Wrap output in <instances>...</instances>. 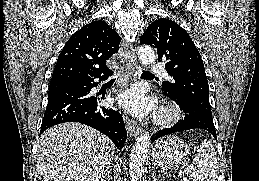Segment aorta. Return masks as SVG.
I'll return each instance as SVG.
<instances>
[{
  "mask_svg": "<svg viewBox=\"0 0 259 181\" xmlns=\"http://www.w3.org/2000/svg\"><path fill=\"white\" fill-rule=\"evenodd\" d=\"M138 58L142 64L148 65L155 60V53L149 46H141L138 50ZM150 145L149 133L144 131L137 139L131 154L129 162V172L131 181H139L143 173V166L146 161Z\"/></svg>",
  "mask_w": 259,
  "mask_h": 181,
  "instance_id": "1",
  "label": "aorta"
}]
</instances>
